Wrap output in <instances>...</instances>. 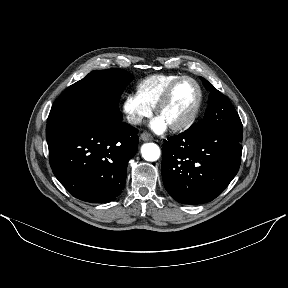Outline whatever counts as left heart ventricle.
Wrapping results in <instances>:
<instances>
[{
    "mask_svg": "<svg viewBox=\"0 0 288 288\" xmlns=\"http://www.w3.org/2000/svg\"><path fill=\"white\" fill-rule=\"evenodd\" d=\"M196 100V86L189 80H183L174 89L169 102L161 110L159 118L168 126L179 123L191 113Z\"/></svg>",
    "mask_w": 288,
    "mask_h": 288,
    "instance_id": "1",
    "label": "left heart ventricle"
}]
</instances>
